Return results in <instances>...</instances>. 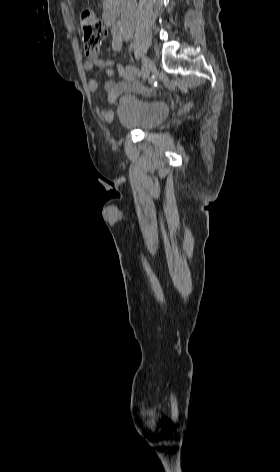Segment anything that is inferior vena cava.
<instances>
[{"label": "inferior vena cava", "mask_w": 280, "mask_h": 472, "mask_svg": "<svg viewBox=\"0 0 280 472\" xmlns=\"http://www.w3.org/2000/svg\"><path fill=\"white\" fill-rule=\"evenodd\" d=\"M136 0H122L121 23L125 34H132L135 26Z\"/></svg>", "instance_id": "inferior-vena-cava-1"}]
</instances>
